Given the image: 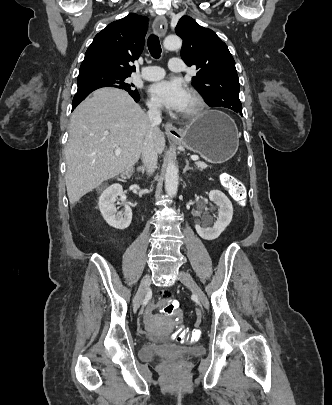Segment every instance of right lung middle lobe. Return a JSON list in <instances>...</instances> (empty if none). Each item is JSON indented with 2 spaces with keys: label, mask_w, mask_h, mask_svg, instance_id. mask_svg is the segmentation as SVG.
Listing matches in <instances>:
<instances>
[{
  "label": "right lung middle lobe",
  "mask_w": 332,
  "mask_h": 405,
  "mask_svg": "<svg viewBox=\"0 0 332 405\" xmlns=\"http://www.w3.org/2000/svg\"><path fill=\"white\" fill-rule=\"evenodd\" d=\"M130 75L117 73H89L79 75L77 78L78 90L82 91L91 87H116L128 92L138 93L134 84L127 83Z\"/></svg>",
  "instance_id": "obj_1"
}]
</instances>
